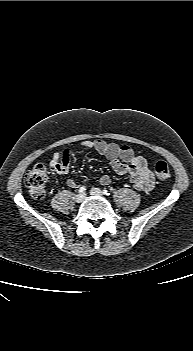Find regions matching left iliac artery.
Segmentation results:
<instances>
[{"instance_id": "1", "label": "left iliac artery", "mask_w": 193, "mask_h": 351, "mask_svg": "<svg viewBox=\"0 0 193 351\" xmlns=\"http://www.w3.org/2000/svg\"><path fill=\"white\" fill-rule=\"evenodd\" d=\"M103 194H104V195H107V196L110 195L109 191L106 190V189L103 190Z\"/></svg>"}]
</instances>
